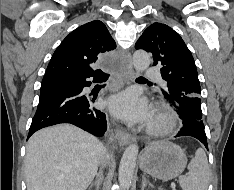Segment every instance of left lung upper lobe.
<instances>
[{
	"label": "left lung upper lobe",
	"mask_w": 234,
	"mask_h": 190,
	"mask_svg": "<svg viewBox=\"0 0 234 190\" xmlns=\"http://www.w3.org/2000/svg\"><path fill=\"white\" fill-rule=\"evenodd\" d=\"M153 54V66L161 67L167 81L164 97L186 116L202 121L200 83L194 59L186 44L172 28L153 23L135 44Z\"/></svg>",
	"instance_id": "1"
}]
</instances>
